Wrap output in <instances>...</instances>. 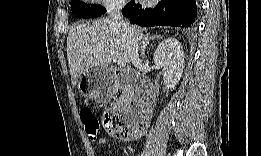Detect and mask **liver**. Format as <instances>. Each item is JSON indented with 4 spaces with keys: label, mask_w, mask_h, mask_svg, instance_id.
Returning a JSON list of instances; mask_svg holds the SVG:
<instances>
[{
    "label": "liver",
    "mask_w": 261,
    "mask_h": 156,
    "mask_svg": "<svg viewBox=\"0 0 261 156\" xmlns=\"http://www.w3.org/2000/svg\"><path fill=\"white\" fill-rule=\"evenodd\" d=\"M137 42L148 39L144 29L130 26ZM112 58L131 62L127 40L110 18L73 25L67 36V59L74 86L94 67H108Z\"/></svg>",
    "instance_id": "liver-1"
}]
</instances>
